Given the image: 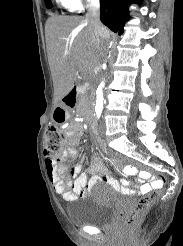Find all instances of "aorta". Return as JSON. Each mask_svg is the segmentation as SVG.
<instances>
[{"label":"aorta","mask_w":183,"mask_h":246,"mask_svg":"<svg viewBox=\"0 0 183 246\" xmlns=\"http://www.w3.org/2000/svg\"><path fill=\"white\" fill-rule=\"evenodd\" d=\"M105 83L104 81H101L99 84L97 91H96V110H102L103 109V89H104Z\"/></svg>","instance_id":"1"}]
</instances>
